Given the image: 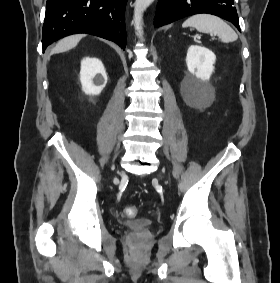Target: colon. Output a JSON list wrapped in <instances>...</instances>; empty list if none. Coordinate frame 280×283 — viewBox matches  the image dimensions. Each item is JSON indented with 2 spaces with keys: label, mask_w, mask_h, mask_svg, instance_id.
<instances>
[{
  "label": "colon",
  "mask_w": 280,
  "mask_h": 283,
  "mask_svg": "<svg viewBox=\"0 0 280 283\" xmlns=\"http://www.w3.org/2000/svg\"><path fill=\"white\" fill-rule=\"evenodd\" d=\"M137 213H138V211H137L136 207L131 206V207L125 208V214L130 218L136 217Z\"/></svg>",
  "instance_id": "colon-1"
}]
</instances>
